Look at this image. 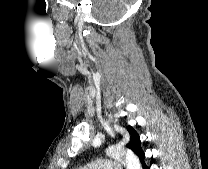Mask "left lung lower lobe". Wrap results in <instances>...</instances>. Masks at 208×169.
<instances>
[{
    "label": "left lung lower lobe",
    "instance_id": "1",
    "mask_svg": "<svg viewBox=\"0 0 208 169\" xmlns=\"http://www.w3.org/2000/svg\"><path fill=\"white\" fill-rule=\"evenodd\" d=\"M137 156L139 157V159H140V161H141L142 168H143V169H150V168L146 165V163H145V161H144V159H145V154H144V152L141 151Z\"/></svg>",
    "mask_w": 208,
    "mask_h": 169
}]
</instances>
